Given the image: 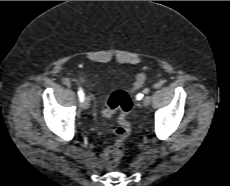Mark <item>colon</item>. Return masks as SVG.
<instances>
[{"instance_id":"obj_1","label":"colon","mask_w":230,"mask_h":186,"mask_svg":"<svg viewBox=\"0 0 230 186\" xmlns=\"http://www.w3.org/2000/svg\"><path fill=\"white\" fill-rule=\"evenodd\" d=\"M146 76L143 72L136 75L134 88H140L145 83ZM132 108V101L129 94L124 90L113 92L108 102L102 108V116L109 118L114 111L119 110L118 127L115 129V141L107 146L102 154L101 160L108 168L116 167L123 157L125 139L130 134L131 125L128 120V115Z\"/></svg>"}]
</instances>
